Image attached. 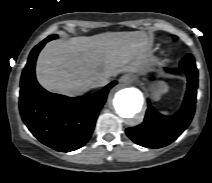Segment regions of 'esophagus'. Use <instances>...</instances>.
<instances>
[{"instance_id": "34e87169", "label": "esophagus", "mask_w": 212, "mask_h": 183, "mask_svg": "<svg viewBox=\"0 0 212 183\" xmlns=\"http://www.w3.org/2000/svg\"><path fill=\"white\" fill-rule=\"evenodd\" d=\"M132 82V78L129 75H124L119 79L120 85H127Z\"/></svg>"}]
</instances>
